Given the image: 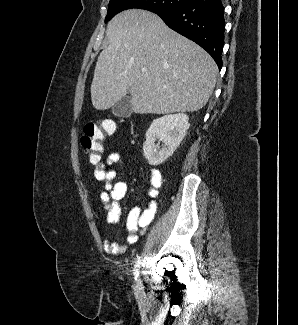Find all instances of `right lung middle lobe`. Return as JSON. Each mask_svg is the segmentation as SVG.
I'll return each instance as SVG.
<instances>
[{
    "mask_svg": "<svg viewBox=\"0 0 298 325\" xmlns=\"http://www.w3.org/2000/svg\"><path fill=\"white\" fill-rule=\"evenodd\" d=\"M190 0H111L108 5V12L105 23L111 20L119 12L138 8L152 12L157 10H175L186 5Z\"/></svg>",
    "mask_w": 298,
    "mask_h": 325,
    "instance_id": "right-lung-middle-lobe-1",
    "label": "right lung middle lobe"
}]
</instances>
